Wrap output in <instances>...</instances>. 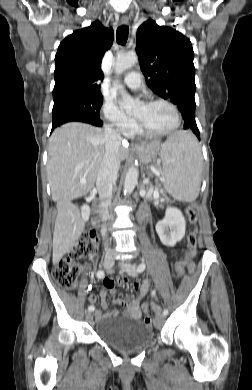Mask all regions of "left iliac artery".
<instances>
[{
	"label": "left iliac artery",
	"mask_w": 252,
	"mask_h": 390,
	"mask_svg": "<svg viewBox=\"0 0 252 390\" xmlns=\"http://www.w3.org/2000/svg\"><path fill=\"white\" fill-rule=\"evenodd\" d=\"M145 263H140L139 265H138V268H137V271L138 272H143L144 270H145ZM152 296H155V291H152ZM163 314L164 315H167L168 314V310L167 309H164V311H163Z\"/></svg>",
	"instance_id": "1"
}]
</instances>
